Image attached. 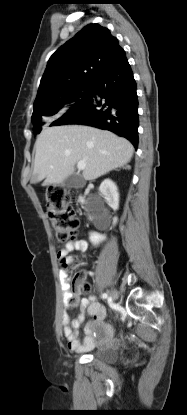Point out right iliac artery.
<instances>
[{"label": "right iliac artery", "instance_id": "1", "mask_svg": "<svg viewBox=\"0 0 187 415\" xmlns=\"http://www.w3.org/2000/svg\"><path fill=\"white\" fill-rule=\"evenodd\" d=\"M102 298H103V299L108 298V294H107V293H103V294H102Z\"/></svg>", "mask_w": 187, "mask_h": 415}]
</instances>
